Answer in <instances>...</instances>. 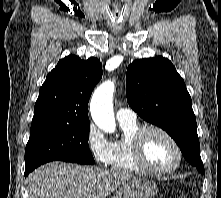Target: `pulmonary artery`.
<instances>
[{
  "instance_id": "e3ab8cb5",
  "label": "pulmonary artery",
  "mask_w": 221,
  "mask_h": 198,
  "mask_svg": "<svg viewBox=\"0 0 221 198\" xmlns=\"http://www.w3.org/2000/svg\"><path fill=\"white\" fill-rule=\"evenodd\" d=\"M116 117L119 122H134L137 119V115L132 109L124 107L116 112Z\"/></svg>"
}]
</instances>
